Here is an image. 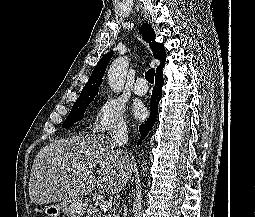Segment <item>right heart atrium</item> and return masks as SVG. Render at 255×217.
<instances>
[{
    "label": "right heart atrium",
    "mask_w": 255,
    "mask_h": 217,
    "mask_svg": "<svg viewBox=\"0 0 255 217\" xmlns=\"http://www.w3.org/2000/svg\"><path fill=\"white\" fill-rule=\"evenodd\" d=\"M125 107L117 99H103L94 111L89 129L99 134H120L126 131Z\"/></svg>",
    "instance_id": "obj_1"
}]
</instances>
